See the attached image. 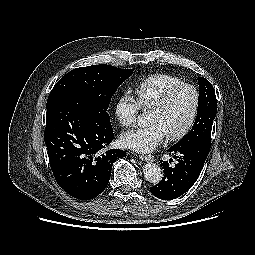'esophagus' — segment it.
<instances>
[{
    "mask_svg": "<svg viewBox=\"0 0 255 255\" xmlns=\"http://www.w3.org/2000/svg\"><path fill=\"white\" fill-rule=\"evenodd\" d=\"M139 158L142 161H154V156L153 155H140Z\"/></svg>",
    "mask_w": 255,
    "mask_h": 255,
    "instance_id": "obj_1",
    "label": "esophagus"
}]
</instances>
